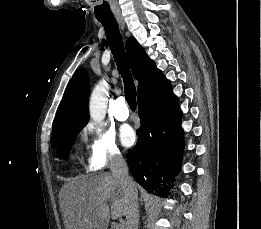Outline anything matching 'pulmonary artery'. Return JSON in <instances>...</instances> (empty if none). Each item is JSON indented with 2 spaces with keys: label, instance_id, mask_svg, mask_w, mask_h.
Listing matches in <instances>:
<instances>
[{
  "label": "pulmonary artery",
  "instance_id": "obj_1",
  "mask_svg": "<svg viewBox=\"0 0 261 229\" xmlns=\"http://www.w3.org/2000/svg\"><path fill=\"white\" fill-rule=\"evenodd\" d=\"M113 114L119 121H126L129 118V109L123 97H119L113 105Z\"/></svg>",
  "mask_w": 261,
  "mask_h": 229
}]
</instances>
